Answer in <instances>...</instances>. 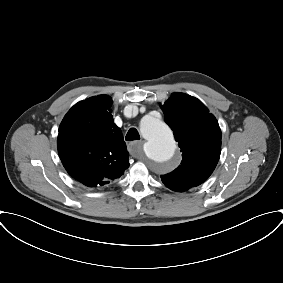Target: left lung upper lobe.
Returning a JSON list of instances; mask_svg holds the SVG:
<instances>
[{"instance_id":"1","label":"left lung upper lobe","mask_w":283,"mask_h":283,"mask_svg":"<svg viewBox=\"0 0 283 283\" xmlns=\"http://www.w3.org/2000/svg\"><path fill=\"white\" fill-rule=\"evenodd\" d=\"M162 110L183 158L177 169L161 179L169 189L183 192L200 185L213 172L221 152V130L207 107L184 93L172 94Z\"/></svg>"}]
</instances>
